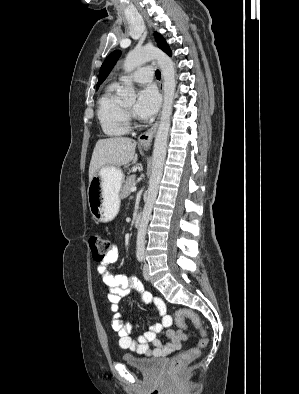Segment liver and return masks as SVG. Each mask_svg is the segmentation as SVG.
<instances>
[{
    "label": "liver",
    "instance_id": "6515ba94",
    "mask_svg": "<svg viewBox=\"0 0 299 394\" xmlns=\"http://www.w3.org/2000/svg\"><path fill=\"white\" fill-rule=\"evenodd\" d=\"M136 141L127 137H111L99 139L94 147L89 166V181L103 167L119 168L130 162L135 164L138 156L135 153Z\"/></svg>",
    "mask_w": 299,
    "mask_h": 394
}]
</instances>
